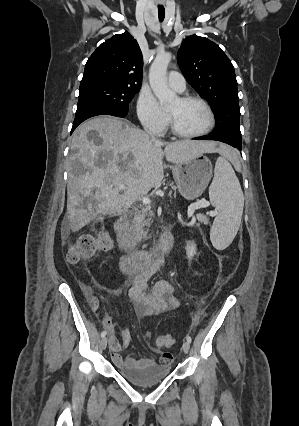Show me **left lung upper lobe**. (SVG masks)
I'll use <instances>...</instances> for the list:
<instances>
[{"label": "left lung upper lobe", "instance_id": "obj_1", "mask_svg": "<svg viewBox=\"0 0 299 426\" xmlns=\"http://www.w3.org/2000/svg\"><path fill=\"white\" fill-rule=\"evenodd\" d=\"M177 62L189 84L212 105L216 127L211 135L241 144L236 76L222 49L205 37L192 35L183 40Z\"/></svg>", "mask_w": 299, "mask_h": 426}]
</instances>
